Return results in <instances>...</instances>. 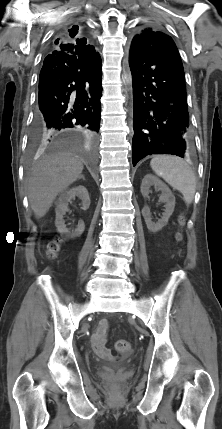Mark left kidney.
Here are the masks:
<instances>
[{
	"mask_svg": "<svg viewBox=\"0 0 222 429\" xmlns=\"http://www.w3.org/2000/svg\"><path fill=\"white\" fill-rule=\"evenodd\" d=\"M154 186L156 189L160 190L162 194L160 195V201L165 203V210L162 214V217L158 222H153L151 219V213L148 206H144L142 209V215L145 219L147 228L150 232H158L161 230L167 223L174 211L175 207V197L172 194L171 190L168 188V186L162 182L159 178L147 174L141 183V193L144 197H147L150 193V187Z\"/></svg>",
	"mask_w": 222,
	"mask_h": 429,
	"instance_id": "obj_1",
	"label": "left kidney"
}]
</instances>
